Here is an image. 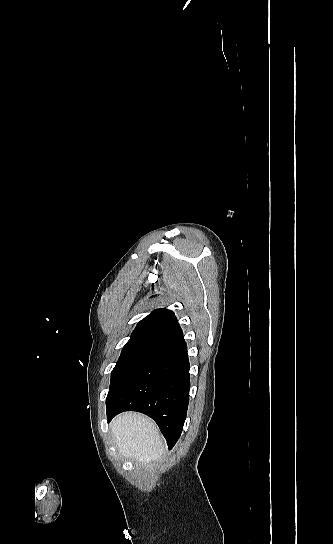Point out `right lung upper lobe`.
<instances>
[{"mask_svg":"<svg viewBox=\"0 0 333 544\" xmlns=\"http://www.w3.org/2000/svg\"><path fill=\"white\" fill-rule=\"evenodd\" d=\"M182 335V330L173 312L168 309H157L138 323L123 349L153 348Z\"/></svg>","mask_w":333,"mask_h":544,"instance_id":"cb5924a9","label":"right lung upper lobe"}]
</instances>
